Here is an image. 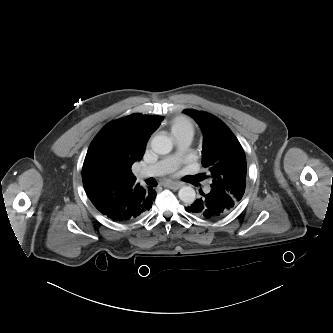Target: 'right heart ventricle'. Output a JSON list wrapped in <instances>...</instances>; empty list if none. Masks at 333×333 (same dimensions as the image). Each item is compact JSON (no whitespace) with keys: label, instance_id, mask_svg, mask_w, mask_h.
<instances>
[{"label":"right heart ventricle","instance_id":"right-heart-ventricle-1","mask_svg":"<svg viewBox=\"0 0 333 333\" xmlns=\"http://www.w3.org/2000/svg\"><path fill=\"white\" fill-rule=\"evenodd\" d=\"M170 131L174 137L186 132L193 133V125L186 117L179 116L171 121Z\"/></svg>","mask_w":333,"mask_h":333}]
</instances>
